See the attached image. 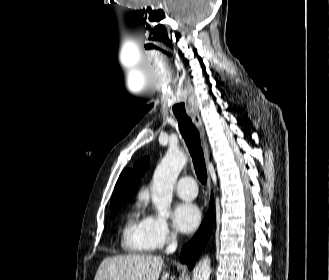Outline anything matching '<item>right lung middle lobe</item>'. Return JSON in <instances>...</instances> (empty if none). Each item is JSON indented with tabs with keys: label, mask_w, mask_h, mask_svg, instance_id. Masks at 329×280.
Returning <instances> with one entry per match:
<instances>
[{
	"label": "right lung middle lobe",
	"mask_w": 329,
	"mask_h": 280,
	"mask_svg": "<svg viewBox=\"0 0 329 280\" xmlns=\"http://www.w3.org/2000/svg\"><path fill=\"white\" fill-rule=\"evenodd\" d=\"M127 199L123 200V201H120L118 202L116 205L110 207L111 210H116L117 208H119Z\"/></svg>",
	"instance_id": "obj_1"
}]
</instances>
